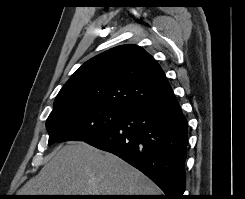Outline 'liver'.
I'll list each match as a JSON object with an SVG mask.
<instances>
[{"label": "liver", "instance_id": "1", "mask_svg": "<svg viewBox=\"0 0 245 199\" xmlns=\"http://www.w3.org/2000/svg\"><path fill=\"white\" fill-rule=\"evenodd\" d=\"M18 195H158L159 188L114 154L72 141Z\"/></svg>", "mask_w": 245, "mask_h": 199}]
</instances>
